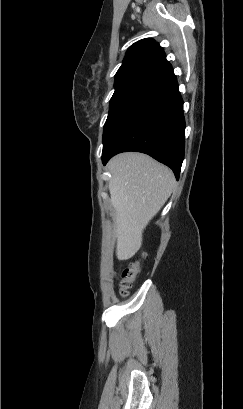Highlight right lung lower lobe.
Wrapping results in <instances>:
<instances>
[{
	"label": "right lung lower lobe",
	"mask_w": 243,
	"mask_h": 409,
	"mask_svg": "<svg viewBox=\"0 0 243 409\" xmlns=\"http://www.w3.org/2000/svg\"><path fill=\"white\" fill-rule=\"evenodd\" d=\"M183 100L174 73L166 77L124 120L102 152L108 160L126 151L150 155L179 178L184 159Z\"/></svg>",
	"instance_id": "1"
}]
</instances>
